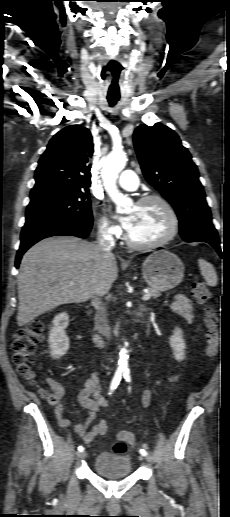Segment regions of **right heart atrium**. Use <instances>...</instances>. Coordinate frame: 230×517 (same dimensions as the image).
I'll return each mask as SVG.
<instances>
[{"label":"right heart atrium","mask_w":230,"mask_h":517,"mask_svg":"<svg viewBox=\"0 0 230 517\" xmlns=\"http://www.w3.org/2000/svg\"><path fill=\"white\" fill-rule=\"evenodd\" d=\"M98 230L101 236L107 239L119 237L121 234L120 227L114 224L106 215H100Z\"/></svg>","instance_id":"1"}]
</instances>
